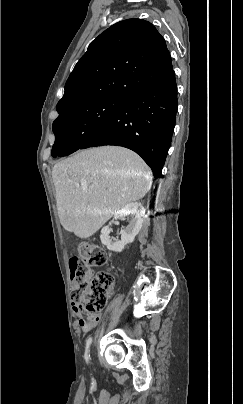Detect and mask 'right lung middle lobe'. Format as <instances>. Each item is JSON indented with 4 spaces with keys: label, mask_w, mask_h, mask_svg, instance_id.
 Instances as JSON below:
<instances>
[{
    "label": "right lung middle lobe",
    "mask_w": 243,
    "mask_h": 404,
    "mask_svg": "<svg viewBox=\"0 0 243 404\" xmlns=\"http://www.w3.org/2000/svg\"><path fill=\"white\" fill-rule=\"evenodd\" d=\"M125 98L108 97L69 109L53 122L55 143L51 154L67 156L94 136L117 112Z\"/></svg>",
    "instance_id": "obj_1"
}]
</instances>
